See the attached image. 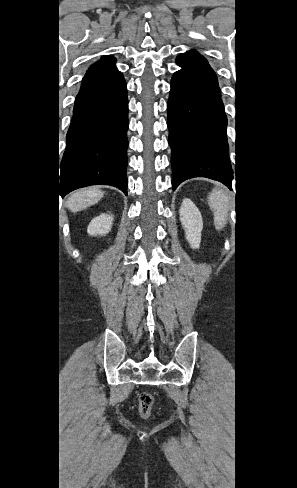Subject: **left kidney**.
Instances as JSON below:
<instances>
[{
  "instance_id": "1",
  "label": "left kidney",
  "mask_w": 297,
  "mask_h": 488,
  "mask_svg": "<svg viewBox=\"0 0 297 488\" xmlns=\"http://www.w3.org/2000/svg\"><path fill=\"white\" fill-rule=\"evenodd\" d=\"M180 221L185 230L186 239L192 248H199L203 220L200 211L188 198H184L180 208Z\"/></svg>"
}]
</instances>
